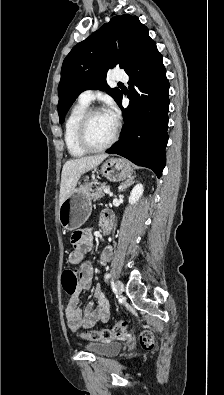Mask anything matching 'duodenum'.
I'll return each mask as SVG.
<instances>
[{"instance_id":"obj_1","label":"duodenum","mask_w":224,"mask_h":395,"mask_svg":"<svg viewBox=\"0 0 224 395\" xmlns=\"http://www.w3.org/2000/svg\"><path fill=\"white\" fill-rule=\"evenodd\" d=\"M101 222V221H100ZM113 215L109 211H104L102 214V228L105 233H109L112 228Z\"/></svg>"}]
</instances>
